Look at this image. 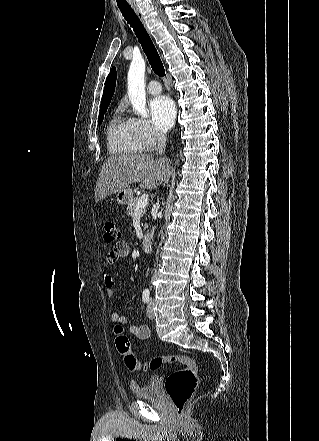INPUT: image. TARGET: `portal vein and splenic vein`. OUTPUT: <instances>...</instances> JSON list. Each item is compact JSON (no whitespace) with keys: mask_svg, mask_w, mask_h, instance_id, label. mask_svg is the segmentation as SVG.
<instances>
[{"mask_svg":"<svg viewBox=\"0 0 319 441\" xmlns=\"http://www.w3.org/2000/svg\"><path fill=\"white\" fill-rule=\"evenodd\" d=\"M148 200H149V196L147 194H143L139 198V201L137 203V206H136V209H135L133 215L142 213L145 210V207L148 203Z\"/></svg>","mask_w":319,"mask_h":441,"instance_id":"obj_1","label":"portal vein and splenic vein"}]
</instances>
